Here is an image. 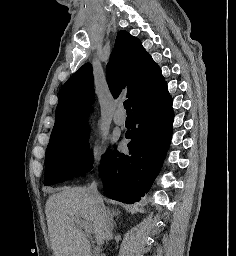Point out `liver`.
<instances>
[{
  "mask_svg": "<svg viewBox=\"0 0 236 256\" xmlns=\"http://www.w3.org/2000/svg\"><path fill=\"white\" fill-rule=\"evenodd\" d=\"M103 208L102 200L92 198L86 188H58L57 194L49 196L45 214L53 256H91V244L84 232L76 228L75 216L85 220L98 246H102L107 226Z\"/></svg>",
  "mask_w": 236,
  "mask_h": 256,
  "instance_id": "6515ba94",
  "label": "liver"
}]
</instances>
